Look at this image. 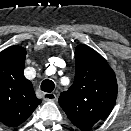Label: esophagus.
<instances>
[{"label": "esophagus", "instance_id": "1", "mask_svg": "<svg viewBox=\"0 0 131 131\" xmlns=\"http://www.w3.org/2000/svg\"><path fill=\"white\" fill-rule=\"evenodd\" d=\"M43 99L45 101H55L57 99V96L55 93H44Z\"/></svg>", "mask_w": 131, "mask_h": 131}]
</instances>
